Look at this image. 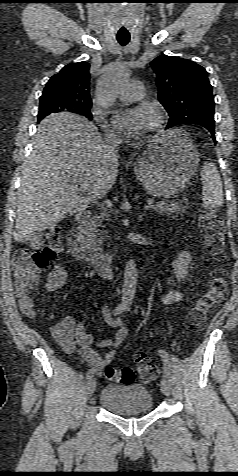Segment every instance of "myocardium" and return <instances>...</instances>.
<instances>
[{
  "label": "myocardium",
  "mask_w": 238,
  "mask_h": 476,
  "mask_svg": "<svg viewBox=\"0 0 238 476\" xmlns=\"http://www.w3.org/2000/svg\"><path fill=\"white\" fill-rule=\"evenodd\" d=\"M147 106L153 111L155 115V122L151 127V131L155 132L162 127L165 119V114L163 109L156 104L149 103L147 104Z\"/></svg>",
  "instance_id": "f54148a6"
}]
</instances>
